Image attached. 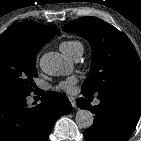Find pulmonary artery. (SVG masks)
<instances>
[{"instance_id":"obj_1","label":"pulmonary artery","mask_w":141,"mask_h":141,"mask_svg":"<svg viewBox=\"0 0 141 141\" xmlns=\"http://www.w3.org/2000/svg\"><path fill=\"white\" fill-rule=\"evenodd\" d=\"M81 55H82V53H77V54H75V55L72 57V59H73L74 61H79L80 58H81Z\"/></svg>"}]
</instances>
